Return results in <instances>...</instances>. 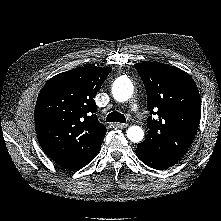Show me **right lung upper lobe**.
Segmentation results:
<instances>
[{
	"label": "right lung upper lobe",
	"mask_w": 221,
	"mask_h": 221,
	"mask_svg": "<svg viewBox=\"0 0 221 221\" xmlns=\"http://www.w3.org/2000/svg\"><path fill=\"white\" fill-rule=\"evenodd\" d=\"M111 68L82 67L52 77L39 93L35 127L43 151L55 162L77 163L101 148L107 132L94 97Z\"/></svg>",
	"instance_id": "right-lung-upper-lobe-1"
}]
</instances>
